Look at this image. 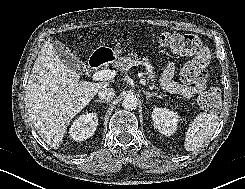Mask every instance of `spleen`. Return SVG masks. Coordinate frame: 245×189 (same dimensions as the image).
<instances>
[{"instance_id":"1","label":"spleen","mask_w":245,"mask_h":189,"mask_svg":"<svg viewBox=\"0 0 245 189\" xmlns=\"http://www.w3.org/2000/svg\"><path fill=\"white\" fill-rule=\"evenodd\" d=\"M218 122L216 114L206 112L198 114L186 131L185 150L191 152L200 148L213 135Z\"/></svg>"}]
</instances>
